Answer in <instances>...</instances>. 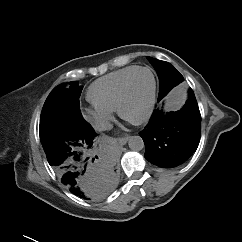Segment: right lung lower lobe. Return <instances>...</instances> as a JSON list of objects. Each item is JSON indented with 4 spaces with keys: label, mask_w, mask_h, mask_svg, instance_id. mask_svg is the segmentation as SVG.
Returning a JSON list of instances; mask_svg holds the SVG:
<instances>
[{
    "label": "right lung lower lobe",
    "mask_w": 242,
    "mask_h": 242,
    "mask_svg": "<svg viewBox=\"0 0 242 242\" xmlns=\"http://www.w3.org/2000/svg\"><path fill=\"white\" fill-rule=\"evenodd\" d=\"M95 137L92 128L51 144L45 153L49 164L71 193L97 200L113 190L117 173L112 161L95 154Z\"/></svg>",
    "instance_id": "right-lung-lower-lobe-1"
}]
</instances>
